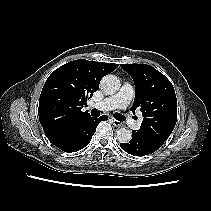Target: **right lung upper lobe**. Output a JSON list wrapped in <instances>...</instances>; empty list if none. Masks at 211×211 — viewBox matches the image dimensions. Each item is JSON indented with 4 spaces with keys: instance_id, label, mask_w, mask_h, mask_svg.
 Instances as JSON below:
<instances>
[{
    "instance_id": "right-lung-upper-lobe-1",
    "label": "right lung upper lobe",
    "mask_w": 211,
    "mask_h": 211,
    "mask_svg": "<svg viewBox=\"0 0 211 211\" xmlns=\"http://www.w3.org/2000/svg\"><path fill=\"white\" fill-rule=\"evenodd\" d=\"M118 64L74 60L56 69L46 80L39 99V120L50 142L57 141L90 115L81 109L99 89L101 79Z\"/></svg>"
}]
</instances>
